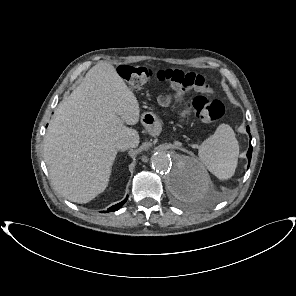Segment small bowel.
<instances>
[{
    "mask_svg": "<svg viewBox=\"0 0 296 296\" xmlns=\"http://www.w3.org/2000/svg\"><path fill=\"white\" fill-rule=\"evenodd\" d=\"M170 101H171V99H170L169 96H162V97H160V99H159V103H160V105L163 106V107L168 106L169 103H170Z\"/></svg>",
    "mask_w": 296,
    "mask_h": 296,
    "instance_id": "1",
    "label": "small bowel"
}]
</instances>
